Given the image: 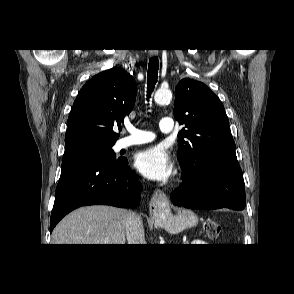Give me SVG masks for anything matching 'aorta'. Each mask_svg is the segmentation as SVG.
I'll use <instances>...</instances> for the list:
<instances>
[{
  "label": "aorta",
  "mask_w": 294,
  "mask_h": 294,
  "mask_svg": "<svg viewBox=\"0 0 294 294\" xmlns=\"http://www.w3.org/2000/svg\"><path fill=\"white\" fill-rule=\"evenodd\" d=\"M172 99V92L169 89H159L156 91L154 101L159 105L167 104Z\"/></svg>",
  "instance_id": "762f6f07"
}]
</instances>
